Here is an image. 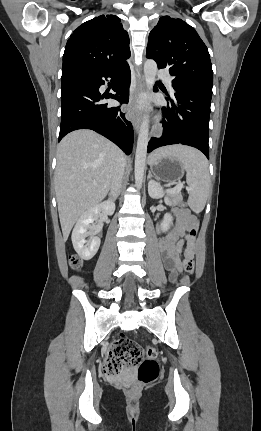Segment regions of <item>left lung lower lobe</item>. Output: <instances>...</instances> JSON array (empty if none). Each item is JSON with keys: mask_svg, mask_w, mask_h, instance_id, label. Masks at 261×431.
Masks as SVG:
<instances>
[{"mask_svg": "<svg viewBox=\"0 0 261 431\" xmlns=\"http://www.w3.org/2000/svg\"><path fill=\"white\" fill-rule=\"evenodd\" d=\"M167 95L168 106L162 107L165 119L163 133L152 137L148 152L166 145L184 144L202 151L209 159V116L212 90L206 87L174 85ZM157 92V87H154Z\"/></svg>", "mask_w": 261, "mask_h": 431, "instance_id": "left-lung-lower-lobe-1", "label": "left lung lower lobe"}]
</instances>
